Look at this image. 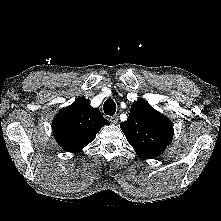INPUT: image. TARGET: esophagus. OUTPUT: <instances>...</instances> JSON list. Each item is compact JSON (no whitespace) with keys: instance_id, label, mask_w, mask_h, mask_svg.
I'll return each mask as SVG.
<instances>
[{"instance_id":"esophagus-1","label":"esophagus","mask_w":221,"mask_h":221,"mask_svg":"<svg viewBox=\"0 0 221 221\" xmlns=\"http://www.w3.org/2000/svg\"><path fill=\"white\" fill-rule=\"evenodd\" d=\"M118 116L117 115H114V116H111L110 117V121L113 123V124H116L118 123Z\"/></svg>"}]
</instances>
